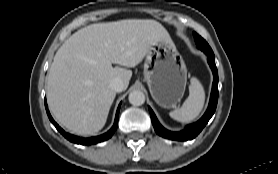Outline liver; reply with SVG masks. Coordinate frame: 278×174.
I'll return each instance as SVG.
<instances>
[{
  "label": "liver",
  "instance_id": "6515ba94",
  "mask_svg": "<svg viewBox=\"0 0 278 174\" xmlns=\"http://www.w3.org/2000/svg\"><path fill=\"white\" fill-rule=\"evenodd\" d=\"M170 40L167 30L152 19H124L86 26L58 49L47 78V101L55 119L71 133L93 135L107 120L119 78L128 87L132 71L150 46Z\"/></svg>",
  "mask_w": 278,
  "mask_h": 174
}]
</instances>
